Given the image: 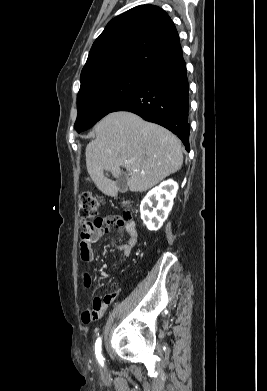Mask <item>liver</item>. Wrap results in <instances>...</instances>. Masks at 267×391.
Wrapping results in <instances>:
<instances>
[{
	"label": "liver",
	"instance_id": "liver-1",
	"mask_svg": "<svg viewBox=\"0 0 267 391\" xmlns=\"http://www.w3.org/2000/svg\"><path fill=\"white\" fill-rule=\"evenodd\" d=\"M94 132L96 139L86 147V167L96 187L108 196H115L117 186L104 171L119 178L124 167L130 190L143 192L183 164L180 140L134 113H110L95 125Z\"/></svg>",
	"mask_w": 267,
	"mask_h": 391
}]
</instances>
